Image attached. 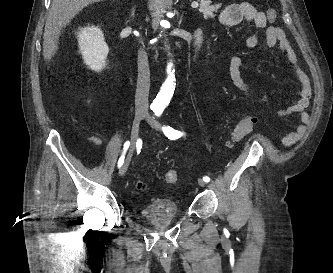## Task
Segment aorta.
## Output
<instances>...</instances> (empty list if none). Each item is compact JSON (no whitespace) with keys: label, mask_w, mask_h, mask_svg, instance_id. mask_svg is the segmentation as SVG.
<instances>
[{"label":"aorta","mask_w":333,"mask_h":273,"mask_svg":"<svg viewBox=\"0 0 333 273\" xmlns=\"http://www.w3.org/2000/svg\"><path fill=\"white\" fill-rule=\"evenodd\" d=\"M161 24H164V21H162ZM171 68L172 64H169L167 67L168 78L162 85L161 90L156 97V103L161 106L167 104L170 101L174 91V75L173 71L171 72Z\"/></svg>","instance_id":"762f6f07"}]
</instances>
